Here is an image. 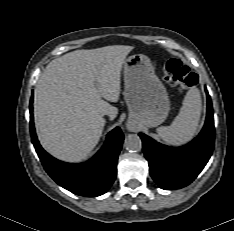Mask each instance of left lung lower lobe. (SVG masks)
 <instances>
[{
  "label": "left lung lower lobe",
  "mask_w": 234,
  "mask_h": 231,
  "mask_svg": "<svg viewBox=\"0 0 234 231\" xmlns=\"http://www.w3.org/2000/svg\"><path fill=\"white\" fill-rule=\"evenodd\" d=\"M207 94V116L200 134L187 145L171 148L140 133L143 151L149 162L150 174L158 186L165 190L189 185L202 171L212 155L215 141L213 108Z\"/></svg>",
  "instance_id": "0a47b994"
}]
</instances>
